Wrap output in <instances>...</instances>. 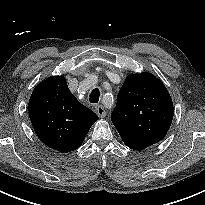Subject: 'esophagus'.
Listing matches in <instances>:
<instances>
[{
    "instance_id": "obj_1",
    "label": "esophagus",
    "mask_w": 205,
    "mask_h": 205,
    "mask_svg": "<svg viewBox=\"0 0 205 205\" xmlns=\"http://www.w3.org/2000/svg\"><path fill=\"white\" fill-rule=\"evenodd\" d=\"M95 111H96L97 115L101 118L106 116L105 108L102 105H97L95 107Z\"/></svg>"
}]
</instances>
